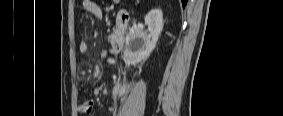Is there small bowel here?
<instances>
[{
    "label": "small bowel",
    "mask_w": 283,
    "mask_h": 116,
    "mask_svg": "<svg viewBox=\"0 0 283 116\" xmlns=\"http://www.w3.org/2000/svg\"><path fill=\"white\" fill-rule=\"evenodd\" d=\"M82 9L85 12L94 15L98 19H102L103 16H104L101 7L98 6L95 2L90 1V0H83L82 1ZM88 48H89V46H88V43L86 41H81L79 43L78 49L82 54H86L88 52ZM84 59H86V57ZM93 105H94V103H93L92 100H87L80 106V110L82 112H85V113H90L93 110ZM110 111L112 112L113 115H115L116 111H117L116 105H112L110 107Z\"/></svg>",
    "instance_id": "1"
}]
</instances>
